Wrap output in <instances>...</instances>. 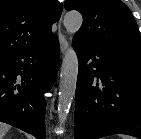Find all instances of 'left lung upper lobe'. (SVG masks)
I'll return each mask as SVG.
<instances>
[{"instance_id":"obj_1","label":"left lung upper lobe","mask_w":141,"mask_h":139,"mask_svg":"<svg viewBox=\"0 0 141 139\" xmlns=\"http://www.w3.org/2000/svg\"><path fill=\"white\" fill-rule=\"evenodd\" d=\"M67 10H78L83 23L75 36L105 49L141 57V38L129 8L120 0H66Z\"/></svg>"}]
</instances>
